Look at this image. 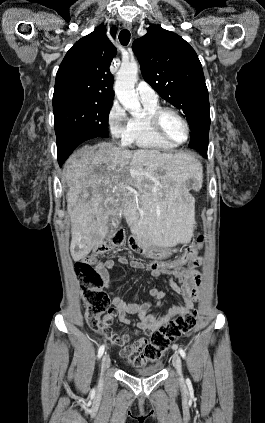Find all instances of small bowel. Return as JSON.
Masks as SVG:
<instances>
[{"instance_id": "small-bowel-1", "label": "small bowel", "mask_w": 265, "mask_h": 423, "mask_svg": "<svg viewBox=\"0 0 265 423\" xmlns=\"http://www.w3.org/2000/svg\"><path fill=\"white\" fill-rule=\"evenodd\" d=\"M201 263L202 258L199 255H196L192 262H189L186 266H181L175 270H151V274L154 277L162 275L167 276L169 286L182 297V303L172 306L166 314L160 315L151 311L152 308L160 305L161 299L165 296L164 291L154 287L149 291L151 298L142 303L126 302L118 295L110 293L109 299L113 305V316L121 324L133 327L135 333L150 334L177 316L189 312L200 296L202 275L198 268ZM116 265H129L134 269L145 268V265L142 262L136 260L129 261L125 257H120L117 261L108 260L99 263L96 266V270L103 280L104 287L107 289L109 288L108 272ZM129 316H134L137 320L132 321ZM108 338L120 347L122 357L126 358L128 362L135 365L140 362L143 364L146 363L142 353V345L147 342L146 339L141 338L133 343H129L131 338L130 335L117 336L113 334Z\"/></svg>"}]
</instances>
